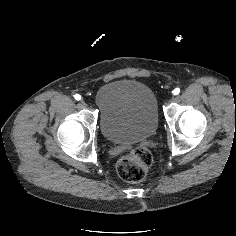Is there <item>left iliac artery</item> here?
Wrapping results in <instances>:
<instances>
[{
  "instance_id": "1",
  "label": "left iliac artery",
  "mask_w": 236,
  "mask_h": 236,
  "mask_svg": "<svg viewBox=\"0 0 236 236\" xmlns=\"http://www.w3.org/2000/svg\"><path fill=\"white\" fill-rule=\"evenodd\" d=\"M172 93L178 95L180 93V88H175Z\"/></svg>"
}]
</instances>
